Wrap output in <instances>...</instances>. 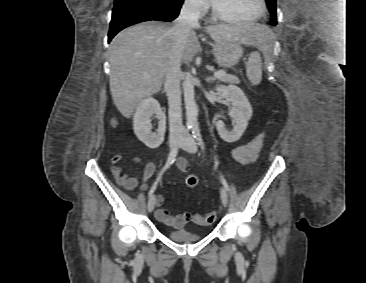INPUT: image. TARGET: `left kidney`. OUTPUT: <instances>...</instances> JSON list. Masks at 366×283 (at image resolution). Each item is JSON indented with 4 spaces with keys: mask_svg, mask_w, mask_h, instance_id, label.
<instances>
[{
    "mask_svg": "<svg viewBox=\"0 0 366 283\" xmlns=\"http://www.w3.org/2000/svg\"><path fill=\"white\" fill-rule=\"evenodd\" d=\"M216 93L222 95L230 104V117L235 126L229 131L226 129L223 121L216 122V129L219 136L226 142H235L240 139L248 126V121L252 116V107L244 92L235 85H219L216 87Z\"/></svg>",
    "mask_w": 366,
    "mask_h": 283,
    "instance_id": "1",
    "label": "left kidney"
}]
</instances>
